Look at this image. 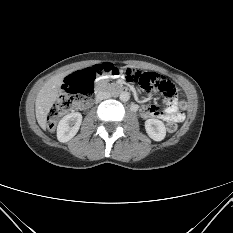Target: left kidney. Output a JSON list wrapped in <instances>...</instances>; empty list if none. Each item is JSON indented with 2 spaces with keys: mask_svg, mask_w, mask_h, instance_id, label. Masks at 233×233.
Segmentation results:
<instances>
[{
  "mask_svg": "<svg viewBox=\"0 0 233 233\" xmlns=\"http://www.w3.org/2000/svg\"><path fill=\"white\" fill-rule=\"evenodd\" d=\"M145 129L148 136L154 141H161L166 136V128L162 121L158 119H148L145 121Z\"/></svg>",
  "mask_w": 233,
  "mask_h": 233,
  "instance_id": "5707ae66",
  "label": "left kidney"
}]
</instances>
